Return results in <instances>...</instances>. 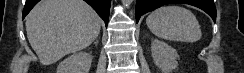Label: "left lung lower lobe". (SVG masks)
Here are the masks:
<instances>
[{"label":"left lung lower lobe","mask_w":244,"mask_h":73,"mask_svg":"<svg viewBox=\"0 0 244 73\" xmlns=\"http://www.w3.org/2000/svg\"><path fill=\"white\" fill-rule=\"evenodd\" d=\"M169 3H184L193 5L204 10L212 17L214 21H216V8L213 0H137L135 11L136 22L138 23L139 18L143 14Z\"/></svg>","instance_id":"left-lung-lower-lobe-1"}]
</instances>
